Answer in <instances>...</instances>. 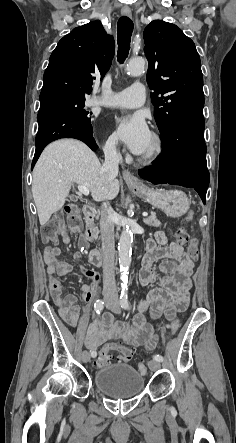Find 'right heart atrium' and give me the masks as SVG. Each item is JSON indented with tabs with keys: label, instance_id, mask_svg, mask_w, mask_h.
<instances>
[{
	"label": "right heart atrium",
	"instance_id": "d8ad5b80",
	"mask_svg": "<svg viewBox=\"0 0 236 443\" xmlns=\"http://www.w3.org/2000/svg\"><path fill=\"white\" fill-rule=\"evenodd\" d=\"M105 151L108 154H110V155H113V154L116 153V151H117V142H116L114 137H109L108 140L106 141Z\"/></svg>",
	"mask_w": 236,
	"mask_h": 443
}]
</instances>
